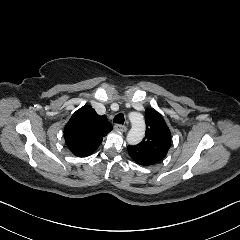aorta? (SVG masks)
<instances>
[{
    "label": "aorta",
    "mask_w": 240,
    "mask_h": 240,
    "mask_svg": "<svg viewBox=\"0 0 240 240\" xmlns=\"http://www.w3.org/2000/svg\"><path fill=\"white\" fill-rule=\"evenodd\" d=\"M129 120L131 122V129L129 130L126 140L130 145H136L140 143L145 134V121L140 113L131 112L129 114Z\"/></svg>",
    "instance_id": "obj_1"
}]
</instances>
